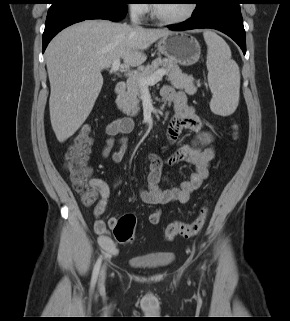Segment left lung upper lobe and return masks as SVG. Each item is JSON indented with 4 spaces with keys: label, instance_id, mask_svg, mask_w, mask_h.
<instances>
[{
    "label": "left lung upper lobe",
    "instance_id": "5c2ea615",
    "mask_svg": "<svg viewBox=\"0 0 290 321\" xmlns=\"http://www.w3.org/2000/svg\"><path fill=\"white\" fill-rule=\"evenodd\" d=\"M213 0H194V3L197 5L194 12H197L203 8H205L207 5H209Z\"/></svg>",
    "mask_w": 290,
    "mask_h": 321
}]
</instances>
